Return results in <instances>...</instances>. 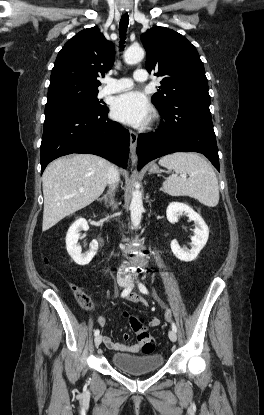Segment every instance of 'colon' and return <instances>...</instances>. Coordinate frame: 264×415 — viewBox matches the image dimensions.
Masks as SVG:
<instances>
[{
  "mask_svg": "<svg viewBox=\"0 0 264 415\" xmlns=\"http://www.w3.org/2000/svg\"><path fill=\"white\" fill-rule=\"evenodd\" d=\"M76 298L80 306L83 309H86V310L91 309L92 304H91L90 298L85 292L76 291ZM134 320H135L136 326L139 328V330L137 331L138 341L142 344L145 352L152 353L156 348L155 340L149 333L141 330V324H142L141 319L134 318Z\"/></svg>",
  "mask_w": 264,
  "mask_h": 415,
  "instance_id": "1",
  "label": "colon"
}]
</instances>
